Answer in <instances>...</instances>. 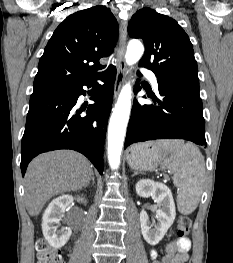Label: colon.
I'll return each instance as SVG.
<instances>
[{
    "instance_id": "obj_1",
    "label": "colon",
    "mask_w": 233,
    "mask_h": 263,
    "mask_svg": "<svg viewBox=\"0 0 233 263\" xmlns=\"http://www.w3.org/2000/svg\"><path fill=\"white\" fill-rule=\"evenodd\" d=\"M191 230V220L188 216H181L178 220V235L187 237ZM37 263H63L61 251L51 247L45 239L40 238L36 242Z\"/></svg>"
}]
</instances>
